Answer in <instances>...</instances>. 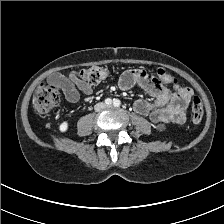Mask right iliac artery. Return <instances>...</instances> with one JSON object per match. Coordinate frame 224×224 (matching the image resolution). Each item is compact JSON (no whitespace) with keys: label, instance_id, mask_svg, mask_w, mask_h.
I'll use <instances>...</instances> for the list:
<instances>
[{"label":"right iliac artery","instance_id":"82829eb1","mask_svg":"<svg viewBox=\"0 0 224 224\" xmlns=\"http://www.w3.org/2000/svg\"><path fill=\"white\" fill-rule=\"evenodd\" d=\"M105 104L107 106H110L112 104V99H110V98L105 99Z\"/></svg>","mask_w":224,"mask_h":224}]
</instances>
